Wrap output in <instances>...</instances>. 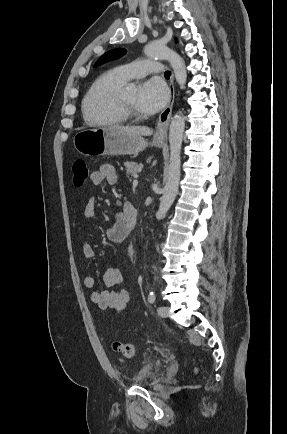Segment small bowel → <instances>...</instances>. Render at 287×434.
Masks as SVG:
<instances>
[{
    "mask_svg": "<svg viewBox=\"0 0 287 434\" xmlns=\"http://www.w3.org/2000/svg\"><path fill=\"white\" fill-rule=\"evenodd\" d=\"M90 179L94 185H101L103 183L114 185L117 182V173L112 165L103 164L98 170L91 173ZM127 204L128 203L123 204L121 209L117 212L116 221L106 230L108 240L113 243L123 242L130 233L126 218ZM96 209V200L90 198L84 205L85 217H94ZM82 253L86 258H92L95 255L94 248L89 242H84L82 244ZM102 281L106 289L93 291L90 294L91 301L101 309H110L117 312L125 309L129 304L130 294L127 290L116 289L117 286L124 282L122 271L116 266H110L104 271ZM83 284L86 288H93V277L86 276L83 280Z\"/></svg>",
    "mask_w": 287,
    "mask_h": 434,
    "instance_id": "small-bowel-1",
    "label": "small bowel"
}]
</instances>
